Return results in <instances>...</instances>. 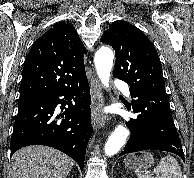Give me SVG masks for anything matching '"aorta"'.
<instances>
[{"instance_id": "obj_1", "label": "aorta", "mask_w": 194, "mask_h": 178, "mask_svg": "<svg viewBox=\"0 0 194 178\" xmlns=\"http://www.w3.org/2000/svg\"><path fill=\"white\" fill-rule=\"evenodd\" d=\"M113 60L114 53L109 47L103 46L95 53V67L99 79L105 88L109 87ZM128 136L129 130L123 125H118L105 144V154L108 156L115 155L124 146Z\"/></svg>"}]
</instances>
